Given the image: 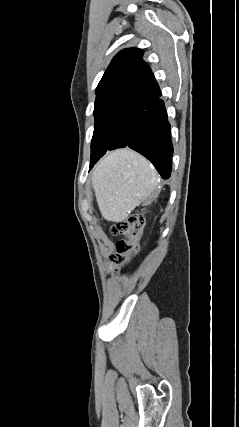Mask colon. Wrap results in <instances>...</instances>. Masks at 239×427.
<instances>
[{"label": "colon", "mask_w": 239, "mask_h": 427, "mask_svg": "<svg viewBox=\"0 0 239 427\" xmlns=\"http://www.w3.org/2000/svg\"><path fill=\"white\" fill-rule=\"evenodd\" d=\"M145 218L141 213L131 215L126 221L112 228V233L119 237L117 252L111 256V262L118 265L136 253L138 240L142 234ZM116 270V268H114Z\"/></svg>", "instance_id": "5ec220e1"}]
</instances>
